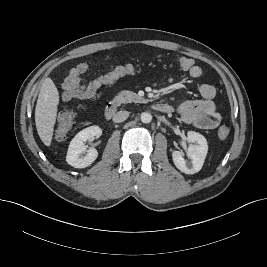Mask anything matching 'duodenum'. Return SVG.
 <instances>
[{"mask_svg": "<svg viewBox=\"0 0 267 267\" xmlns=\"http://www.w3.org/2000/svg\"><path fill=\"white\" fill-rule=\"evenodd\" d=\"M153 107L155 110L162 112V113H170L173 110L172 106L165 104V103H159V102L154 103ZM118 108H119V104L117 101L109 102L107 106L105 107V111H104L105 117L107 119L112 118L117 112Z\"/></svg>", "mask_w": 267, "mask_h": 267, "instance_id": "1", "label": "duodenum"}]
</instances>
